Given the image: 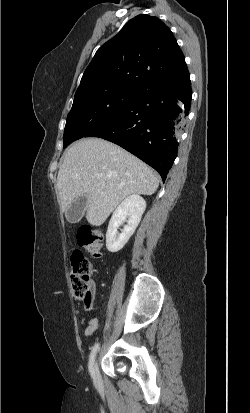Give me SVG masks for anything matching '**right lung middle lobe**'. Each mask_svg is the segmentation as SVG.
Listing matches in <instances>:
<instances>
[{
  "label": "right lung middle lobe",
  "instance_id": "dd1d6c3e",
  "mask_svg": "<svg viewBox=\"0 0 250 413\" xmlns=\"http://www.w3.org/2000/svg\"><path fill=\"white\" fill-rule=\"evenodd\" d=\"M141 91L129 86L87 88L75 93L64 130V148L113 119Z\"/></svg>",
  "mask_w": 250,
  "mask_h": 413
}]
</instances>
